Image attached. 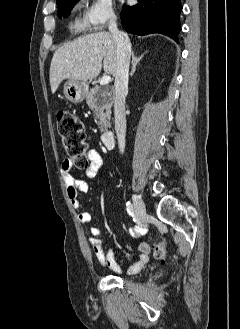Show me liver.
Wrapping results in <instances>:
<instances>
[{"label":"liver","mask_w":240,"mask_h":329,"mask_svg":"<svg viewBox=\"0 0 240 329\" xmlns=\"http://www.w3.org/2000/svg\"><path fill=\"white\" fill-rule=\"evenodd\" d=\"M102 67L106 74L115 75L117 46L111 33H92L61 46L50 65L52 94L64 79L86 82L97 77Z\"/></svg>","instance_id":"1"}]
</instances>
